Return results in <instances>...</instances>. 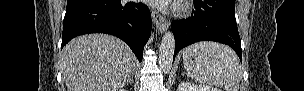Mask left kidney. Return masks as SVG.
Wrapping results in <instances>:
<instances>
[{"label":"left kidney","instance_id":"left-kidney-1","mask_svg":"<svg viewBox=\"0 0 304 91\" xmlns=\"http://www.w3.org/2000/svg\"><path fill=\"white\" fill-rule=\"evenodd\" d=\"M177 91H220V90L208 85H197L189 82H182L179 84Z\"/></svg>","mask_w":304,"mask_h":91}]
</instances>
